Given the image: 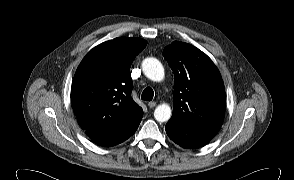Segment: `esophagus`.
<instances>
[{"label":"esophagus","mask_w":294,"mask_h":180,"mask_svg":"<svg viewBox=\"0 0 294 180\" xmlns=\"http://www.w3.org/2000/svg\"><path fill=\"white\" fill-rule=\"evenodd\" d=\"M156 106V102L155 101H151L148 103V107L149 108H154Z\"/></svg>","instance_id":"esophagus-1"}]
</instances>
